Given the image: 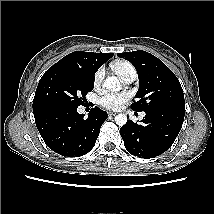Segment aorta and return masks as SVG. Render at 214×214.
I'll list each match as a JSON object with an SVG mask.
<instances>
[{"label":"aorta","instance_id":"obj_1","mask_svg":"<svg viewBox=\"0 0 214 214\" xmlns=\"http://www.w3.org/2000/svg\"><path fill=\"white\" fill-rule=\"evenodd\" d=\"M119 86L118 78L115 76L108 77L103 82V87L108 90H115ZM115 122L119 126H123L127 123L126 114H118L115 116Z\"/></svg>","mask_w":214,"mask_h":214}]
</instances>
